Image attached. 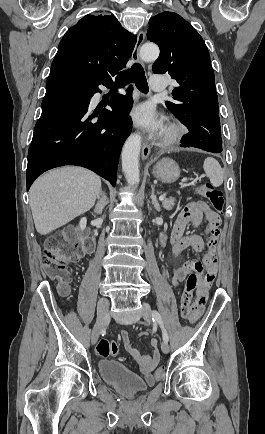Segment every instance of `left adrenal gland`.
I'll use <instances>...</instances> for the list:
<instances>
[{"label": "left adrenal gland", "instance_id": "obj_1", "mask_svg": "<svg viewBox=\"0 0 265 434\" xmlns=\"http://www.w3.org/2000/svg\"><path fill=\"white\" fill-rule=\"evenodd\" d=\"M151 200H152V204L156 210V212H160L161 208H160V204L154 194V186H151V196H150Z\"/></svg>", "mask_w": 265, "mask_h": 434}]
</instances>
